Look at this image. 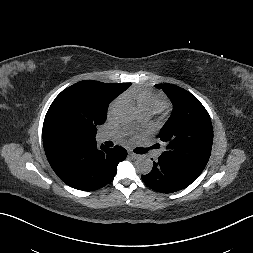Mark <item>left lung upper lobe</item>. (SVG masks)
<instances>
[{
    "instance_id": "1",
    "label": "left lung upper lobe",
    "mask_w": 253,
    "mask_h": 253,
    "mask_svg": "<svg viewBox=\"0 0 253 253\" xmlns=\"http://www.w3.org/2000/svg\"><path fill=\"white\" fill-rule=\"evenodd\" d=\"M174 104L159 137L166 145L161 156L203 171L211 153L213 128L200 101L185 89L172 84L157 85Z\"/></svg>"
}]
</instances>
